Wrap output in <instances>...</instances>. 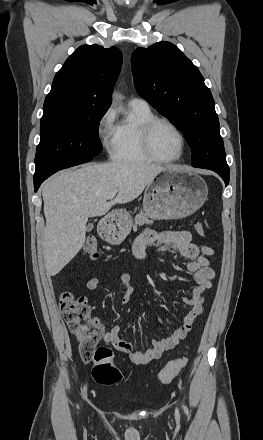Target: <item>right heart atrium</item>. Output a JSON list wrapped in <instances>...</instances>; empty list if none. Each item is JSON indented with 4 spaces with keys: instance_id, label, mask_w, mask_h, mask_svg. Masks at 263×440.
Returning <instances> with one entry per match:
<instances>
[{
    "instance_id": "1",
    "label": "right heart atrium",
    "mask_w": 263,
    "mask_h": 440,
    "mask_svg": "<svg viewBox=\"0 0 263 440\" xmlns=\"http://www.w3.org/2000/svg\"><path fill=\"white\" fill-rule=\"evenodd\" d=\"M117 125L115 124V112L113 108H108L99 118L97 124V134L103 147L111 152L114 146Z\"/></svg>"
}]
</instances>
